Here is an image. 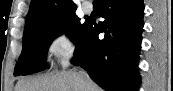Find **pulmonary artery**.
<instances>
[{
  "instance_id": "obj_1",
  "label": "pulmonary artery",
  "mask_w": 173,
  "mask_h": 91,
  "mask_svg": "<svg viewBox=\"0 0 173 91\" xmlns=\"http://www.w3.org/2000/svg\"><path fill=\"white\" fill-rule=\"evenodd\" d=\"M83 10L85 13H91L92 12V6L85 4L83 6Z\"/></svg>"
}]
</instances>
